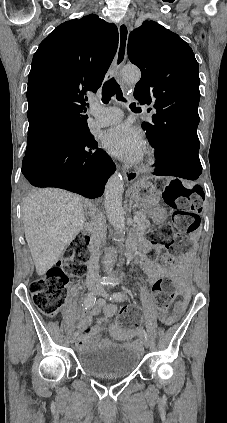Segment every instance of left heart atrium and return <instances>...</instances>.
<instances>
[{
  "mask_svg": "<svg viewBox=\"0 0 227 423\" xmlns=\"http://www.w3.org/2000/svg\"><path fill=\"white\" fill-rule=\"evenodd\" d=\"M104 148L125 162L138 163L146 150L144 134L138 128L121 125L102 133Z\"/></svg>",
  "mask_w": 227,
  "mask_h": 423,
  "instance_id": "obj_1",
  "label": "left heart atrium"
}]
</instances>
